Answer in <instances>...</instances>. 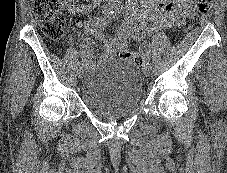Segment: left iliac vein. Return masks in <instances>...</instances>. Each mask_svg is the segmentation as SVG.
Wrapping results in <instances>:
<instances>
[{
    "mask_svg": "<svg viewBox=\"0 0 227 173\" xmlns=\"http://www.w3.org/2000/svg\"><path fill=\"white\" fill-rule=\"evenodd\" d=\"M142 71L145 76H149L151 74V67L149 65L144 64L142 67Z\"/></svg>",
    "mask_w": 227,
    "mask_h": 173,
    "instance_id": "1",
    "label": "left iliac vein"
}]
</instances>
